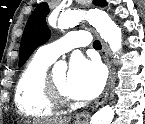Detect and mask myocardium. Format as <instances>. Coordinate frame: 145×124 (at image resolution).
Segmentation results:
<instances>
[{"mask_svg": "<svg viewBox=\"0 0 145 124\" xmlns=\"http://www.w3.org/2000/svg\"><path fill=\"white\" fill-rule=\"evenodd\" d=\"M44 90L47 99L55 107H68L73 103L71 97L63 94L55 85L52 76L47 73L44 78Z\"/></svg>", "mask_w": 145, "mask_h": 124, "instance_id": "obj_1", "label": "myocardium"}]
</instances>
